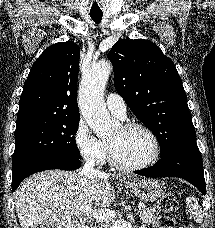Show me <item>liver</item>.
<instances>
[{
    "mask_svg": "<svg viewBox=\"0 0 215 228\" xmlns=\"http://www.w3.org/2000/svg\"><path fill=\"white\" fill-rule=\"evenodd\" d=\"M120 178L113 176V180ZM110 180L109 174L84 178L62 170L29 176L14 192L21 228H88L81 212L112 204L115 190Z\"/></svg>",
    "mask_w": 215,
    "mask_h": 228,
    "instance_id": "liver-1",
    "label": "liver"
}]
</instances>
